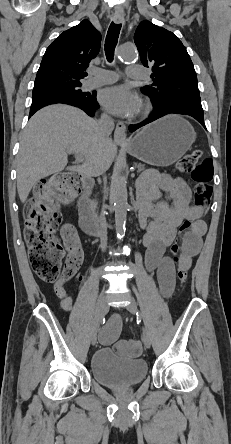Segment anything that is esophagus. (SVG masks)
<instances>
[{
	"mask_svg": "<svg viewBox=\"0 0 231 444\" xmlns=\"http://www.w3.org/2000/svg\"><path fill=\"white\" fill-rule=\"evenodd\" d=\"M113 21L116 24H124V14L122 11H115ZM114 141L117 143H126V125L122 121H118L114 131Z\"/></svg>",
	"mask_w": 231,
	"mask_h": 444,
	"instance_id": "obj_1",
	"label": "esophagus"
}]
</instances>
